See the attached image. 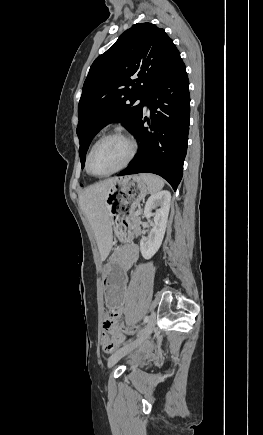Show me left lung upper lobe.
<instances>
[{"label":"left lung upper lobe","instance_id":"left-lung-upper-lobe-1","mask_svg":"<svg viewBox=\"0 0 263 435\" xmlns=\"http://www.w3.org/2000/svg\"><path fill=\"white\" fill-rule=\"evenodd\" d=\"M180 59L172 39L148 22L133 25L95 59L78 106L82 168L89 144L106 124L122 122L133 133L148 95Z\"/></svg>","mask_w":263,"mask_h":435}]
</instances>
